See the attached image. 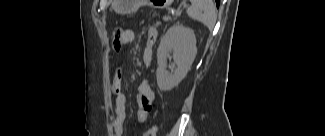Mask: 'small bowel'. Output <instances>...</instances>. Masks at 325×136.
<instances>
[{
	"label": "small bowel",
	"mask_w": 325,
	"mask_h": 136,
	"mask_svg": "<svg viewBox=\"0 0 325 136\" xmlns=\"http://www.w3.org/2000/svg\"><path fill=\"white\" fill-rule=\"evenodd\" d=\"M125 44L134 41L135 33L132 29H122ZM157 30L149 28L147 31L146 43L142 60L145 65L152 61V46L157 39ZM124 66L117 65L114 68V75L111 84V90L115 98V117L112 122V128L116 136H122L124 133V124L126 120L127 97L122 91ZM153 91L147 82H142L138 87L137 93V121L143 123L148 119L152 108Z\"/></svg>",
	"instance_id": "1"
}]
</instances>
